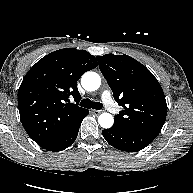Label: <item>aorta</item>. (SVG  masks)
I'll return each instance as SVG.
<instances>
[{
  "instance_id": "1",
  "label": "aorta",
  "mask_w": 193,
  "mask_h": 193,
  "mask_svg": "<svg viewBox=\"0 0 193 193\" xmlns=\"http://www.w3.org/2000/svg\"><path fill=\"white\" fill-rule=\"evenodd\" d=\"M101 78L95 72H86L81 78V85L86 91H95L100 87ZM98 123L102 128L108 129L114 123L110 113H102L98 117Z\"/></svg>"
}]
</instances>
